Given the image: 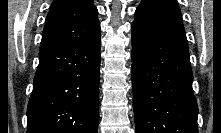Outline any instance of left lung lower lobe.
I'll return each mask as SVG.
<instances>
[{"mask_svg": "<svg viewBox=\"0 0 221 133\" xmlns=\"http://www.w3.org/2000/svg\"><path fill=\"white\" fill-rule=\"evenodd\" d=\"M185 31L132 24L136 133H198Z\"/></svg>", "mask_w": 221, "mask_h": 133, "instance_id": "obj_1", "label": "left lung lower lobe"}]
</instances>
